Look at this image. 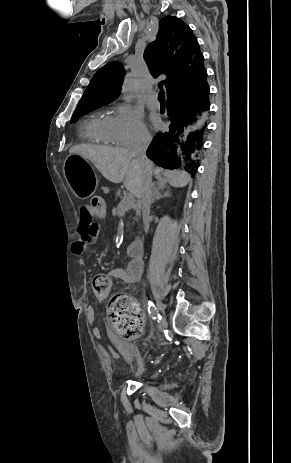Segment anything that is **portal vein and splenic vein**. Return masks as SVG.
<instances>
[{
	"mask_svg": "<svg viewBox=\"0 0 291 463\" xmlns=\"http://www.w3.org/2000/svg\"><path fill=\"white\" fill-rule=\"evenodd\" d=\"M134 204V197L131 193H126L119 203L118 207L123 210H128L133 207Z\"/></svg>",
	"mask_w": 291,
	"mask_h": 463,
	"instance_id": "obj_1",
	"label": "portal vein and splenic vein"
}]
</instances>
